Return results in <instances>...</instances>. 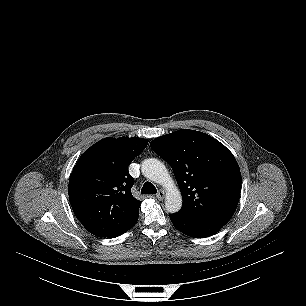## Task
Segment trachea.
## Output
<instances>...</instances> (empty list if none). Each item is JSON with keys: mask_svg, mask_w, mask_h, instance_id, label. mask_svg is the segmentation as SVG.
<instances>
[{"mask_svg": "<svg viewBox=\"0 0 306 306\" xmlns=\"http://www.w3.org/2000/svg\"><path fill=\"white\" fill-rule=\"evenodd\" d=\"M156 192L155 186L150 182H145L141 189L142 194H155Z\"/></svg>", "mask_w": 306, "mask_h": 306, "instance_id": "obj_1", "label": "trachea"}]
</instances>
